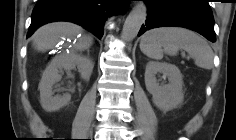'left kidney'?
<instances>
[{
	"label": "left kidney",
	"mask_w": 236,
	"mask_h": 140,
	"mask_svg": "<svg viewBox=\"0 0 236 140\" xmlns=\"http://www.w3.org/2000/svg\"><path fill=\"white\" fill-rule=\"evenodd\" d=\"M157 73L167 76L169 84L160 85L156 79ZM145 85L152 94L154 105L160 110H171L183 102L182 74L173 64L149 61L145 70Z\"/></svg>",
	"instance_id": "1"
}]
</instances>
